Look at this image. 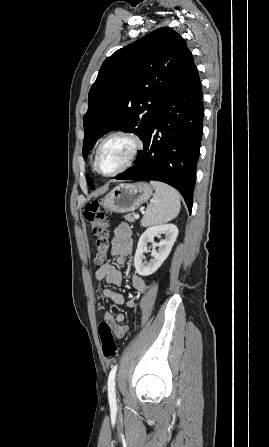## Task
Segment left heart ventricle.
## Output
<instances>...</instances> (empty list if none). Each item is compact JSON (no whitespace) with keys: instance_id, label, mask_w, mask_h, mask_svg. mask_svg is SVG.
Listing matches in <instances>:
<instances>
[{"instance_id":"left-heart-ventricle-1","label":"left heart ventricle","mask_w":269,"mask_h":447,"mask_svg":"<svg viewBox=\"0 0 269 447\" xmlns=\"http://www.w3.org/2000/svg\"><path fill=\"white\" fill-rule=\"evenodd\" d=\"M134 142L126 136H116L107 141L99 156V168L103 172H111L128 160Z\"/></svg>"}]
</instances>
